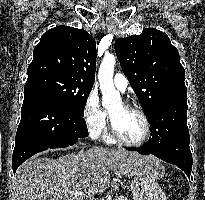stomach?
<instances>
[{
    "label": "stomach",
    "mask_w": 205,
    "mask_h": 200,
    "mask_svg": "<svg viewBox=\"0 0 205 200\" xmlns=\"http://www.w3.org/2000/svg\"><path fill=\"white\" fill-rule=\"evenodd\" d=\"M157 174L163 171L160 163L153 166ZM157 177L149 173H138L131 181L133 200H166V196L156 181Z\"/></svg>",
    "instance_id": "obj_1"
}]
</instances>
